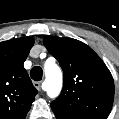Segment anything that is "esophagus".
<instances>
[{"label": "esophagus", "mask_w": 119, "mask_h": 119, "mask_svg": "<svg viewBox=\"0 0 119 119\" xmlns=\"http://www.w3.org/2000/svg\"><path fill=\"white\" fill-rule=\"evenodd\" d=\"M33 85L35 88H37L40 91V89H41V82L40 81H34Z\"/></svg>", "instance_id": "obj_1"}]
</instances>
